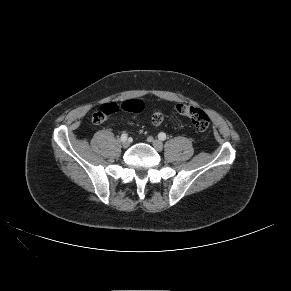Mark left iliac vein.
Listing matches in <instances>:
<instances>
[{"mask_svg": "<svg viewBox=\"0 0 291 291\" xmlns=\"http://www.w3.org/2000/svg\"><path fill=\"white\" fill-rule=\"evenodd\" d=\"M148 141L152 143L153 147L157 151H161L163 149V143L160 140H155L152 137H149Z\"/></svg>", "mask_w": 291, "mask_h": 291, "instance_id": "left-iliac-vein-1", "label": "left iliac vein"}]
</instances>
